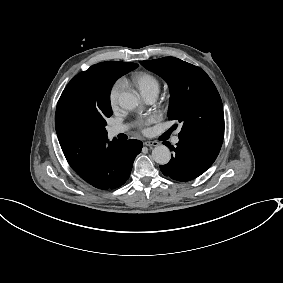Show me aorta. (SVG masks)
Wrapping results in <instances>:
<instances>
[{
    "label": "aorta",
    "mask_w": 283,
    "mask_h": 283,
    "mask_svg": "<svg viewBox=\"0 0 283 283\" xmlns=\"http://www.w3.org/2000/svg\"><path fill=\"white\" fill-rule=\"evenodd\" d=\"M120 107L133 110L139 105L137 97L131 93L123 92L118 99ZM153 160L161 165L167 164L171 159V152L165 145H158L152 150Z\"/></svg>",
    "instance_id": "aorta-1"
}]
</instances>
